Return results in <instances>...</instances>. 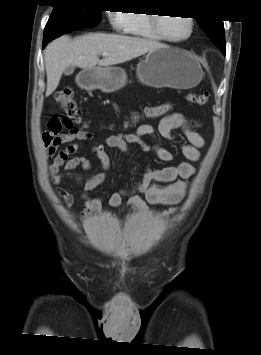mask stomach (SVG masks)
<instances>
[{
	"label": "stomach",
	"instance_id": "1",
	"mask_svg": "<svg viewBox=\"0 0 261 355\" xmlns=\"http://www.w3.org/2000/svg\"><path fill=\"white\" fill-rule=\"evenodd\" d=\"M136 73L140 82L146 85L178 89L196 86L203 76L202 67L193 56L168 46L150 51L138 63ZM84 76L82 86L106 93L119 90L127 79L125 70L116 66L87 69Z\"/></svg>",
	"mask_w": 261,
	"mask_h": 355
}]
</instances>
